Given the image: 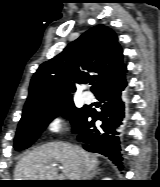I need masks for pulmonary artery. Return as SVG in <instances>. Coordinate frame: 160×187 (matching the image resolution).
Instances as JSON below:
<instances>
[{
    "mask_svg": "<svg viewBox=\"0 0 160 187\" xmlns=\"http://www.w3.org/2000/svg\"><path fill=\"white\" fill-rule=\"evenodd\" d=\"M82 100L85 103L89 104V103H91L93 101V96H92L91 93H85V94L82 95Z\"/></svg>",
    "mask_w": 160,
    "mask_h": 187,
    "instance_id": "pulmonary-artery-1",
    "label": "pulmonary artery"
}]
</instances>
